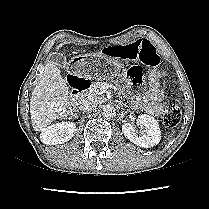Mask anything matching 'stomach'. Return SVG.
I'll return each instance as SVG.
<instances>
[{
  "label": "stomach",
  "mask_w": 209,
  "mask_h": 209,
  "mask_svg": "<svg viewBox=\"0 0 209 209\" xmlns=\"http://www.w3.org/2000/svg\"><path fill=\"white\" fill-rule=\"evenodd\" d=\"M119 69L116 60L102 53H87L70 59L66 70L73 77L83 76L90 80L101 77H110Z\"/></svg>",
  "instance_id": "stomach-1"
}]
</instances>
